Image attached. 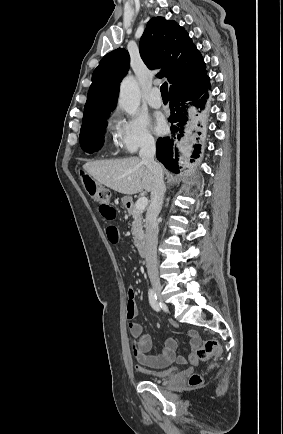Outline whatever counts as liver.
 <instances>
[{
	"label": "liver",
	"mask_w": 283,
	"mask_h": 434,
	"mask_svg": "<svg viewBox=\"0 0 283 434\" xmlns=\"http://www.w3.org/2000/svg\"><path fill=\"white\" fill-rule=\"evenodd\" d=\"M83 170L99 184L125 195L151 192L154 176L139 157L89 161Z\"/></svg>",
	"instance_id": "liver-1"
}]
</instances>
